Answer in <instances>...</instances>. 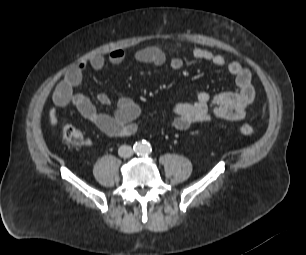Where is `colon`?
I'll use <instances>...</instances> for the list:
<instances>
[{
  "instance_id": "obj_1",
  "label": "colon",
  "mask_w": 306,
  "mask_h": 255,
  "mask_svg": "<svg viewBox=\"0 0 306 255\" xmlns=\"http://www.w3.org/2000/svg\"><path fill=\"white\" fill-rule=\"evenodd\" d=\"M243 135L251 136L254 134V128L249 124H242L239 128ZM62 139L71 146H81L85 144L83 134L72 125H65L62 129Z\"/></svg>"
}]
</instances>
